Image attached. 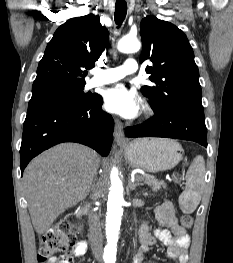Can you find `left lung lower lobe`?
Returning a JSON list of instances; mask_svg holds the SVG:
<instances>
[{
    "label": "left lung lower lobe",
    "instance_id": "obj_1",
    "mask_svg": "<svg viewBox=\"0 0 233 263\" xmlns=\"http://www.w3.org/2000/svg\"><path fill=\"white\" fill-rule=\"evenodd\" d=\"M130 137H165L197 142L207 147V128L203 107L179 105L155 114L143 124L128 127Z\"/></svg>",
    "mask_w": 233,
    "mask_h": 263
}]
</instances>
